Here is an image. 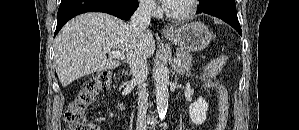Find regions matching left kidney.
<instances>
[{
  "label": "left kidney",
  "mask_w": 299,
  "mask_h": 130,
  "mask_svg": "<svg viewBox=\"0 0 299 130\" xmlns=\"http://www.w3.org/2000/svg\"><path fill=\"white\" fill-rule=\"evenodd\" d=\"M208 110V103L202 97H199L196 102L190 104L189 115L191 121L195 125H201L206 120V112Z\"/></svg>",
  "instance_id": "obj_1"
}]
</instances>
